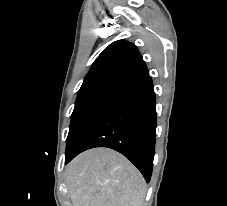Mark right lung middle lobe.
<instances>
[{
	"label": "right lung middle lobe",
	"instance_id": "1",
	"mask_svg": "<svg viewBox=\"0 0 227 206\" xmlns=\"http://www.w3.org/2000/svg\"><path fill=\"white\" fill-rule=\"evenodd\" d=\"M129 87V82L104 80L81 87L71 115L65 156L69 155L99 114Z\"/></svg>",
	"mask_w": 227,
	"mask_h": 206
}]
</instances>
